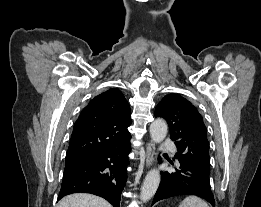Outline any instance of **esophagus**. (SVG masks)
I'll list each match as a JSON object with an SVG mask.
<instances>
[{"instance_id":"obj_1","label":"esophagus","mask_w":261,"mask_h":207,"mask_svg":"<svg viewBox=\"0 0 261 207\" xmlns=\"http://www.w3.org/2000/svg\"><path fill=\"white\" fill-rule=\"evenodd\" d=\"M155 156V146L153 142H148L146 147V167H150L153 164Z\"/></svg>"}]
</instances>
